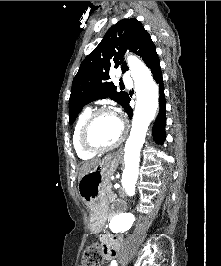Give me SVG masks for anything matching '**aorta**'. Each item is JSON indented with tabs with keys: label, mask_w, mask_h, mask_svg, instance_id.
I'll return each instance as SVG.
<instances>
[{
	"label": "aorta",
	"mask_w": 221,
	"mask_h": 266,
	"mask_svg": "<svg viewBox=\"0 0 221 266\" xmlns=\"http://www.w3.org/2000/svg\"><path fill=\"white\" fill-rule=\"evenodd\" d=\"M127 63L134 80L136 92V106L134 110L132 128L124 147L125 168L122 174V185L128 196L135 194V187L139 175L140 152L145 142L146 133L158 110L159 89L150 70L135 56H128ZM134 217L130 213H121L110 222L112 232L128 230Z\"/></svg>",
	"instance_id": "obj_1"
}]
</instances>
